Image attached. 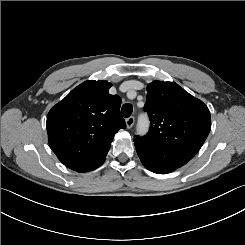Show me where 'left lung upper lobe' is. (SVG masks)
<instances>
[{
  "label": "left lung upper lobe",
  "instance_id": "5c2ea615",
  "mask_svg": "<svg viewBox=\"0 0 245 245\" xmlns=\"http://www.w3.org/2000/svg\"><path fill=\"white\" fill-rule=\"evenodd\" d=\"M145 111L151 125L140 144L171 151L190 161L202 147L210 128L208 107L178 84L153 81L147 86Z\"/></svg>",
  "mask_w": 245,
  "mask_h": 245
}]
</instances>
